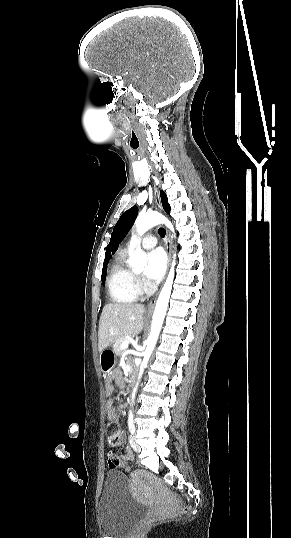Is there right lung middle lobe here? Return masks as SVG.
<instances>
[{"mask_svg": "<svg viewBox=\"0 0 291 538\" xmlns=\"http://www.w3.org/2000/svg\"><path fill=\"white\" fill-rule=\"evenodd\" d=\"M107 264H108V261L103 263V271H102V282L103 283H105V279H106Z\"/></svg>", "mask_w": 291, "mask_h": 538, "instance_id": "1", "label": "right lung middle lobe"}]
</instances>
